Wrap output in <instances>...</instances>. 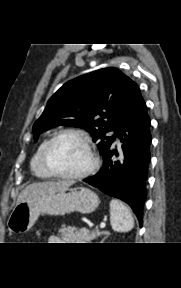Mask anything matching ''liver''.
Returning <instances> with one entry per match:
<instances>
[{"label":"liver","instance_id":"1","mask_svg":"<svg viewBox=\"0 0 181 288\" xmlns=\"http://www.w3.org/2000/svg\"><path fill=\"white\" fill-rule=\"evenodd\" d=\"M74 182L73 181H59V182H40L33 183L24 188L18 196L17 203L25 201L28 198L41 195L47 191L60 190L70 187Z\"/></svg>","mask_w":181,"mask_h":288}]
</instances>
